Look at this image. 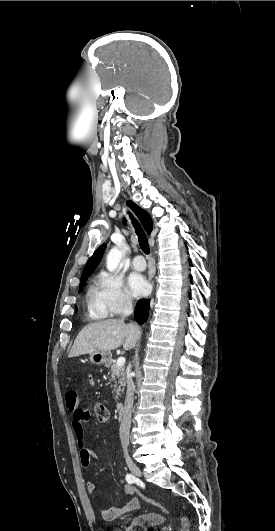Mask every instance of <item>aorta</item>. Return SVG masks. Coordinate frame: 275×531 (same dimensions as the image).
<instances>
[{
	"instance_id": "762f6f07",
	"label": "aorta",
	"mask_w": 275,
	"mask_h": 531,
	"mask_svg": "<svg viewBox=\"0 0 275 531\" xmlns=\"http://www.w3.org/2000/svg\"><path fill=\"white\" fill-rule=\"evenodd\" d=\"M122 259V253L119 251L118 247H113L111 251H109L107 257H106V269L107 271H110V273H114L116 271L120 261Z\"/></svg>"
}]
</instances>
